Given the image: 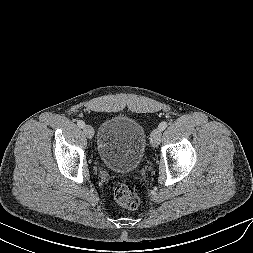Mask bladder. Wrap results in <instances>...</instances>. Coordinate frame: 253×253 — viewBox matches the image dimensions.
Masks as SVG:
<instances>
[{
	"mask_svg": "<svg viewBox=\"0 0 253 253\" xmlns=\"http://www.w3.org/2000/svg\"><path fill=\"white\" fill-rule=\"evenodd\" d=\"M146 143L143 126L130 116L118 115L101 123L96 137V152L108 169L130 173L141 164Z\"/></svg>",
	"mask_w": 253,
	"mask_h": 253,
	"instance_id": "obj_1",
	"label": "bladder"
}]
</instances>
